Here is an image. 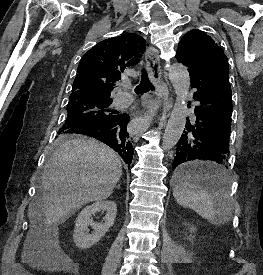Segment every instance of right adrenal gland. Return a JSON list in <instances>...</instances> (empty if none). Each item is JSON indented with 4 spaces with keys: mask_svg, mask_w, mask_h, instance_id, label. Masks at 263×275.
Here are the masks:
<instances>
[{
    "mask_svg": "<svg viewBox=\"0 0 263 275\" xmlns=\"http://www.w3.org/2000/svg\"><path fill=\"white\" fill-rule=\"evenodd\" d=\"M116 188L120 189V185L118 184V185L116 186Z\"/></svg>",
    "mask_w": 263,
    "mask_h": 275,
    "instance_id": "right-adrenal-gland-1",
    "label": "right adrenal gland"
}]
</instances>
